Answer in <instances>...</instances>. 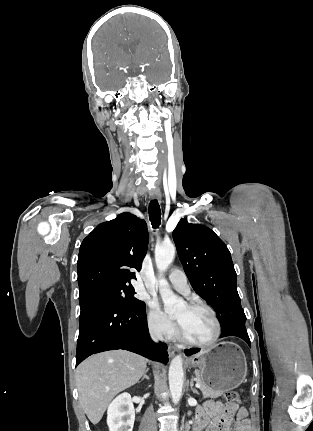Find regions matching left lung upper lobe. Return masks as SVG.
<instances>
[{"label":"left lung upper lobe","mask_w":313,"mask_h":431,"mask_svg":"<svg viewBox=\"0 0 313 431\" xmlns=\"http://www.w3.org/2000/svg\"><path fill=\"white\" fill-rule=\"evenodd\" d=\"M173 239L184 271L196 293L215 310L221 331L245 325L230 252L208 227L181 219Z\"/></svg>","instance_id":"left-lung-upper-lobe-1"}]
</instances>
